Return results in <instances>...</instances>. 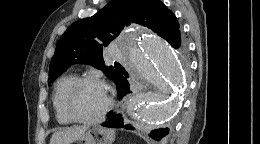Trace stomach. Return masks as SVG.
<instances>
[{"label":"stomach","mask_w":260,"mask_h":144,"mask_svg":"<svg viewBox=\"0 0 260 144\" xmlns=\"http://www.w3.org/2000/svg\"><path fill=\"white\" fill-rule=\"evenodd\" d=\"M115 139V131L103 127L89 129L70 144H112Z\"/></svg>","instance_id":"obj_1"}]
</instances>
